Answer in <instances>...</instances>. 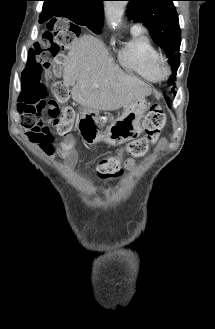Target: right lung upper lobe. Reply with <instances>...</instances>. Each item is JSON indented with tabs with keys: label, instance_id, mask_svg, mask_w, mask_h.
Returning <instances> with one entry per match:
<instances>
[{
	"label": "right lung upper lobe",
	"instance_id": "1",
	"mask_svg": "<svg viewBox=\"0 0 215 329\" xmlns=\"http://www.w3.org/2000/svg\"><path fill=\"white\" fill-rule=\"evenodd\" d=\"M104 0H44L40 22H53L56 17L79 15L87 22L103 24Z\"/></svg>",
	"mask_w": 215,
	"mask_h": 329
}]
</instances>
